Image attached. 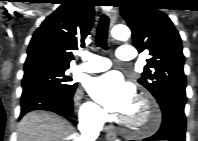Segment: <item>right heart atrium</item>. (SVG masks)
<instances>
[{
    "label": "right heart atrium",
    "instance_id": "d8ad5b80",
    "mask_svg": "<svg viewBox=\"0 0 198 141\" xmlns=\"http://www.w3.org/2000/svg\"><path fill=\"white\" fill-rule=\"evenodd\" d=\"M80 118L86 122L98 123L104 118L103 112L92 102H85L80 107Z\"/></svg>",
    "mask_w": 198,
    "mask_h": 141
}]
</instances>
